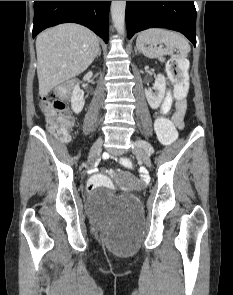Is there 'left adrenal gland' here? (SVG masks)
<instances>
[{
  "mask_svg": "<svg viewBox=\"0 0 233 295\" xmlns=\"http://www.w3.org/2000/svg\"><path fill=\"white\" fill-rule=\"evenodd\" d=\"M135 54H137V47H135Z\"/></svg>",
  "mask_w": 233,
  "mask_h": 295,
  "instance_id": "a2214340",
  "label": "left adrenal gland"
}]
</instances>
